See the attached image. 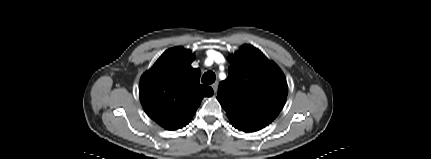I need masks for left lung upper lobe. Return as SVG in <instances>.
<instances>
[{"instance_id":"1","label":"left lung upper lobe","mask_w":431,"mask_h":159,"mask_svg":"<svg viewBox=\"0 0 431 159\" xmlns=\"http://www.w3.org/2000/svg\"><path fill=\"white\" fill-rule=\"evenodd\" d=\"M229 62V76L219 84L217 99L235 128L245 132L260 130L277 117L285 104V76L250 45L242 46Z\"/></svg>"}]
</instances>
